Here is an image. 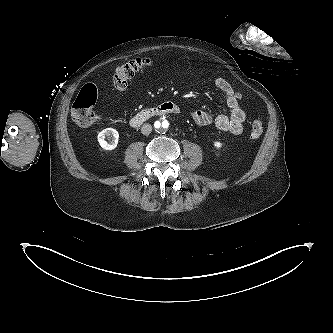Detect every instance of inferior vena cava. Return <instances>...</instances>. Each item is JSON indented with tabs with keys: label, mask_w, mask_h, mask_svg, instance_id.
Here are the masks:
<instances>
[{
	"label": "inferior vena cava",
	"mask_w": 333,
	"mask_h": 333,
	"mask_svg": "<svg viewBox=\"0 0 333 333\" xmlns=\"http://www.w3.org/2000/svg\"><path fill=\"white\" fill-rule=\"evenodd\" d=\"M152 131V126L148 123L143 124V126L141 127V133L144 135H149Z\"/></svg>",
	"instance_id": "602c4592"
}]
</instances>
